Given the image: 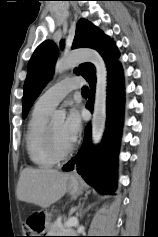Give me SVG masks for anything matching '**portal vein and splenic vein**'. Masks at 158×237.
<instances>
[{
	"instance_id": "obj_1",
	"label": "portal vein and splenic vein",
	"mask_w": 158,
	"mask_h": 237,
	"mask_svg": "<svg viewBox=\"0 0 158 237\" xmlns=\"http://www.w3.org/2000/svg\"><path fill=\"white\" fill-rule=\"evenodd\" d=\"M77 225H78V219L75 217L69 218L64 224V226L66 227H72V226H77Z\"/></svg>"
}]
</instances>
